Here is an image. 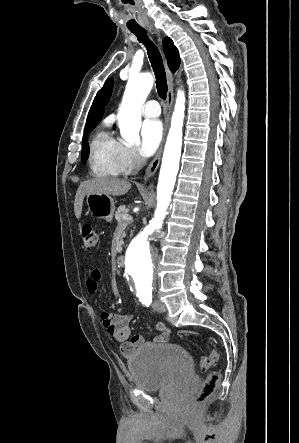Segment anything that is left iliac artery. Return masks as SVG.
<instances>
[{"label":"left iliac artery","instance_id":"1","mask_svg":"<svg viewBox=\"0 0 299 443\" xmlns=\"http://www.w3.org/2000/svg\"><path fill=\"white\" fill-rule=\"evenodd\" d=\"M150 303H151V301H148V303H147V305H146V306H149V305H150Z\"/></svg>","mask_w":299,"mask_h":443}]
</instances>
